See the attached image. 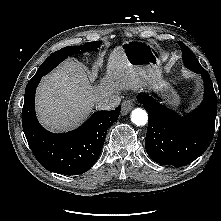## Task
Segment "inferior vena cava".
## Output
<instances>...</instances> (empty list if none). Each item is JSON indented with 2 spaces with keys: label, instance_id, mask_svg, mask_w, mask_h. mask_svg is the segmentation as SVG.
I'll return each instance as SVG.
<instances>
[{
  "label": "inferior vena cava",
  "instance_id": "602c4592",
  "mask_svg": "<svg viewBox=\"0 0 221 221\" xmlns=\"http://www.w3.org/2000/svg\"><path fill=\"white\" fill-rule=\"evenodd\" d=\"M121 98L118 95H110L108 97L101 98L97 104L98 107L105 110H111L116 108L120 104Z\"/></svg>",
  "mask_w": 221,
  "mask_h": 221
}]
</instances>
